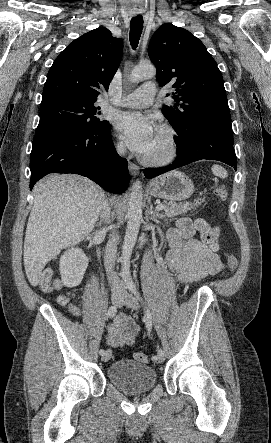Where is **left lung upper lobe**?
<instances>
[{
  "mask_svg": "<svg viewBox=\"0 0 271 443\" xmlns=\"http://www.w3.org/2000/svg\"><path fill=\"white\" fill-rule=\"evenodd\" d=\"M148 54L161 87L174 83V106L162 112L176 132L186 130L201 116L231 121L222 74L203 43L189 31L171 23L152 36Z\"/></svg>",
  "mask_w": 271,
  "mask_h": 443,
  "instance_id": "5c2ea615",
  "label": "left lung upper lobe"
}]
</instances>
